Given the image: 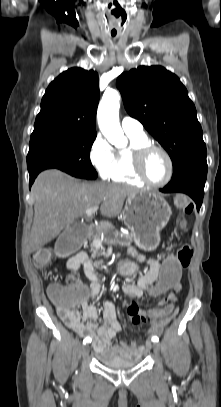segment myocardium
<instances>
[{
  "mask_svg": "<svg viewBox=\"0 0 221 407\" xmlns=\"http://www.w3.org/2000/svg\"><path fill=\"white\" fill-rule=\"evenodd\" d=\"M154 151L161 152L167 159L169 164V173L166 179L162 182H154L150 180L145 171V163L147 157ZM132 166L135 175L144 183L152 187H162L167 185L173 178L175 167L171 154L162 146L156 144H146L134 148L132 151Z\"/></svg>",
  "mask_w": 221,
  "mask_h": 407,
  "instance_id": "obj_1",
  "label": "myocardium"
}]
</instances>
